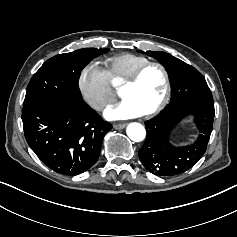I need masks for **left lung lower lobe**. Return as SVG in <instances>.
Masks as SVG:
<instances>
[{
    "label": "left lung lower lobe",
    "instance_id": "0a47b994",
    "mask_svg": "<svg viewBox=\"0 0 237 237\" xmlns=\"http://www.w3.org/2000/svg\"><path fill=\"white\" fill-rule=\"evenodd\" d=\"M168 118L180 121L188 115H194L195 119L203 123L208 129H212L213 119L215 115L214 104H193L178 106L164 113ZM198 160L186 161L192 166Z\"/></svg>",
    "mask_w": 237,
    "mask_h": 237
}]
</instances>
